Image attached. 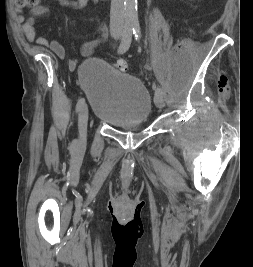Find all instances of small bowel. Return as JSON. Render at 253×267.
<instances>
[{
  "label": "small bowel",
  "instance_id": "small-bowel-1",
  "mask_svg": "<svg viewBox=\"0 0 253 267\" xmlns=\"http://www.w3.org/2000/svg\"><path fill=\"white\" fill-rule=\"evenodd\" d=\"M61 5L73 10H81L87 6L89 2H97L99 0H58ZM47 13L45 7H38L33 10V15L27 17L21 26L26 39L29 42H37L39 45L49 48L56 56L63 58L65 50L63 45L57 40H48L47 38L37 34L34 23L35 17ZM74 23V21H73ZM94 26L97 31V35L91 39H85L80 44V54L83 57L90 56L95 49L104 41L107 35V28L101 21H94Z\"/></svg>",
  "mask_w": 253,
  "mask_h": 267
}]
</instances>
